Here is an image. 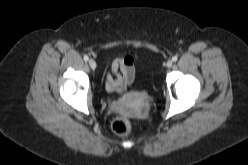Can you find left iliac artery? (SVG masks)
<instances>
[{
	"instance_id": "44dca946",
	"label": "left iliac artery",
	"mask_w": 248,
	"mask_h": 165,
	"mask_svg": "<svg viewBox=\"0 0 248 165\" xmlns=\"http://www.w3.org/2000/svg\"><path fill=\"white\" fill-rule=\"evenodd\" d=\"M177 59H178L177 56H173V57H172V60H173V61H177Z\"/></svg>"
}]
</instances>
